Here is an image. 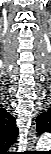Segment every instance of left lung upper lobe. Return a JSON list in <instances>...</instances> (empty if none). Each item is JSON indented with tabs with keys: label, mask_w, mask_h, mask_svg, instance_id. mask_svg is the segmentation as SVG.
<instances>
[{
	"label": "left lung upper lobe",
	"mask_w": 51,
	"mask_h": 154,
	"mask_svg": "<svg viewBox=\"0 0 51 154\" xmlns=\"http://www.w3.org/2000/svg\"><path fill=\"white\" fill-rule=\"evenodd\" d=\"M45 120V117L40 115L39 117H37V132L38 133H42L44 132V129H46L47 127L43 124Z\"/></svg>",
	"instance_id": "5c2ea615"
}]
</instances>
